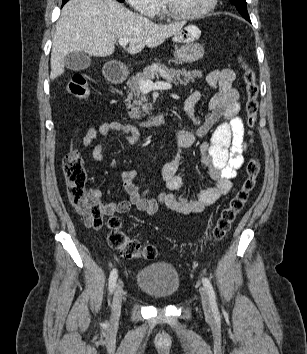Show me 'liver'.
<instances>
[{
    "mask_svg": "<svg viewBox=\"0 0 307 354\" xmlns=\"http://www.w3.org/2000/svg\"><path fill=\"white\" fill-rule=\"evenodd\" d=\"M184 22L158 25L115 0H70L57 22L51 51L50 79L64 73V58L72 52L106 57L121 38L132 39L127 52L154 48L180 32Z\"/></svg>",
    "mask_w": 307,
    "mask_h": 354,
    "instance_id": "obj_1",
    "label": "liver"
}]
</instances>
